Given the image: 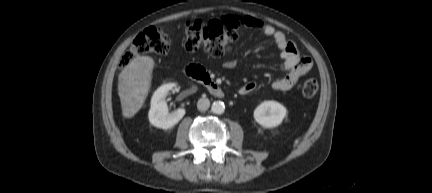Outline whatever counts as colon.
Wrapping results in <instances>:
<instances>
[{"label": "colon", "mask_w": 432, "mask_h": 193, "mask_svg": "<svg viewBox=\"0 0 432 193\" xmlns=\"http://www.w3.org/2000/svg\"><path fill=\"white\" fill-rule=\"evenodd\" d=\"M185 49L193 52L203 49L212 57L224 56L237 37V28L223 20L188 21L184 27ZM171 39L158 27L151 26L141 32L122 56L121 67H126L137 56L152 53L166 54L171 48ZM319 85L315 78L307 79L302 85V94L307 98L316 95Z\"/></svg>", "instance_id": "colon-1"}]
</instances>
